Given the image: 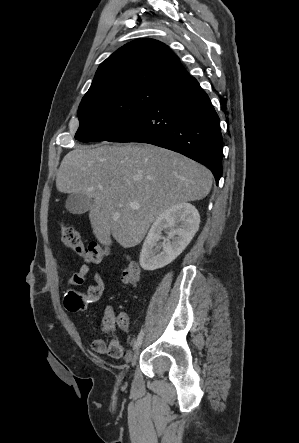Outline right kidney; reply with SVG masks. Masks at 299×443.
<instances>
[{
    "mask_svg": "<svg viewBox=\"0 0 299 443\" xmlns=\"http://www.w3.org/2000/svg\"><path fill=\"white\" fill-rule=\"evenodd\" d=\"M200 215L195 206L182 203L161 213L152 224L140 253L144 270L162 268L176 259L199 229ZM165 231L167 236L163 237ZM159 240H163L158 244Z\"/></svg>",
    "mask_w": 299,
    "mask_h": 443,
    "instance_id": "right-kidney-1",
    "label": "right kidney"
}]
</instances>
